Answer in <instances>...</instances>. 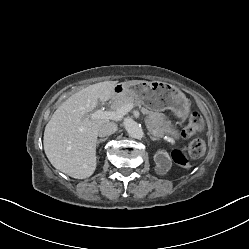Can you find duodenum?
I'll use <instances>...</instances> for the list:
<instances>
[{"instance_id": "obj_1", "label": "duodenum", "mask_w": 249, "mask_h": 249, "mask_svg": "<svg viewBox=\"0 0 249 249\" xmlns=\"http://www.w3.org/2000/svg\"><path fill=\"white\" fill-rule=\"evenodd\" d=\"M120 87H121V86H120ZM121 88H122V87H121ZM121 92H122V91H121ZM121 92H120V93H121ZM117 94H118V93H117ZM114 95H116V93H114L113 90H112L109 97L111 98V97H113Z\"/></svg>"}]
</instances>
